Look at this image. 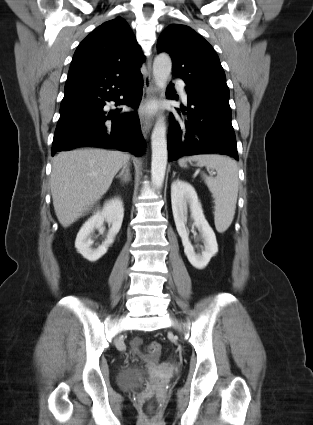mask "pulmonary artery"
Masks as SVG:
<instances>
[{
  "label": "pulmonary artery",
  "instance_id": "e3ab8cb5",
  "mask_svg": "<svg viewBox=\"0 0 313 425\" xmlns=\"http://www.w3.org/2000/svg\"><path fill=\"white\" fill-rule=\"evenodd\" d=\"M176 82L180 84L179 81H176ZM180 93H181V96L186 100L187 99V94H186V91L183 89V87H181Z\"/></svg>",
  "mask_w": 313,
  "mask_h": 425
}]
</instances>
